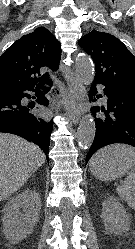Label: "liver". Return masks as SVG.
<instances>
[{
	"label": "liver",
	"mask_w": 135,
	"mask_h": 249,
	"mask_svg": "<svg viewBox=\"0 0 135 249\" xmlns=\"http://www.w3.org/2000/svg\"><path fill=\"white\" fill-rule=\"evenodd\" d=\"M45 159L37 145L0 133V202L20 189Z\"/></svg>",
	"instance_id": "liver-1"
}]
</instances>
